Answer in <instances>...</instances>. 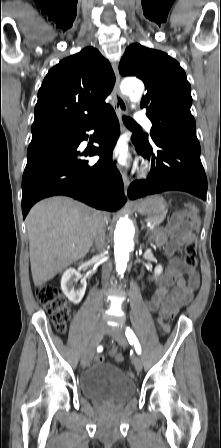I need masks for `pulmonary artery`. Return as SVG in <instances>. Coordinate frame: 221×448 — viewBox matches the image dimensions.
<instances>
[{"label": "pulmonary artery", "mask_w": 221, "mask_h": 448, "mask_svg": "<svg viewBox=\"0 0 221 448\" xmlns=\"http://www.w3.org/2000/svg\"><path fill=\"white\" fill-rule=\"evenodd\" d=\"M135 120H136L137 122H139V123H143V124L146 126V128L148 129V131L151 130L152 123H151V121L149 120V118L146 116L145 113H143V112H138V113H136V114H135Z\"/></svg>", "instance_id": "e3ab8cb5"}]
</instances>
